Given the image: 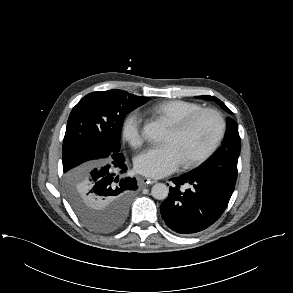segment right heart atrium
Here are the masks:
<instances>
[{
    "mask_svg": "<svg viewBox=\"0 0 293 293\" xmlns=\"http://www.w3.org/2000/svg\"><path fill=\"white\" fill-rule=\"evenodd\" d=\"M142 122V115L137 111L129 112L122 121V137L133 147L139 146L144 139Z\"/></svg>",
    "mask_w": 293,
    "mask_h": 293,
    "instance_id": "1",
    "label": "right heart atrium"
}]
</instances>
